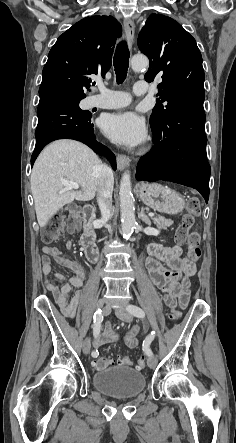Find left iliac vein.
Returning <instances> with one entry per match:
<instances>
[{
  "label": "left iliac vein",
  "mask_w": 236,
  "mask_h": 443,
  "mask_svg": "<svg viewBox=\"0 0 236 443\" xmlns=\"http://www.w3.org/2000/svg\"><path fill=\"white\" fill-rule=\"evenodd\" d=\"M115 315L125 322H131L132 321V315L125 309V308H117L115 309ZM158 360L157 357L154 355H151L147 359V364L150 368H155L157 366Z\"/></svg>",
  "instance_id": "obj_1"
}]
</instances>
